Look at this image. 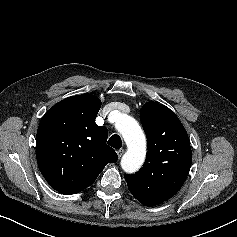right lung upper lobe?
Returning <instances> with one entry per match:
<instances>
[{
    "label": "right lung upper lobe",
    "instance_id": "1",
    "mask_svg": "<svg viewBox=\"0 0 237 237\" xmlns=\"http://www.w3.org/2000/svg\"><path fill=\"white\" fill-rule=\"evenodd\" d=\"M101 101L94 95L68 97L50 108L37 131L39 169L49 185L75 194L94 183L108 163L117 161L106 144L108 131L95 118Z\"/></svg>",
    "mask_w": 237,
    "mask_h": 237
}]
</instances>
